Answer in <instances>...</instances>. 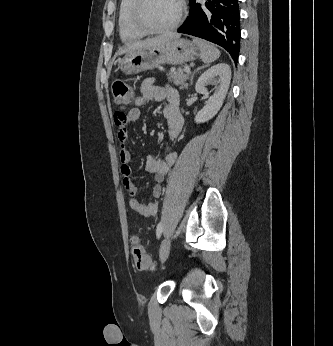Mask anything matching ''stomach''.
Listing matches in <instances>:
<instances>
[{
  "instance_id": "0dacf381",
  "label": "stomach",
  "mask_w": 333,
  "mask_h": 346,
  "mask_svg": "<svg viewBox=\"0 0 333 346\" xmlns=\"http://www.w3.org/2000/svg\"><path fill=\"white\" fill-rule=\"evenodd\" d=\"M200 55V49L194 42L178 38L126 53L119 61V68L123 73L132 75L152 70L162 64L181 65L197 59Z\"/></svg>"
}]
</instances>
